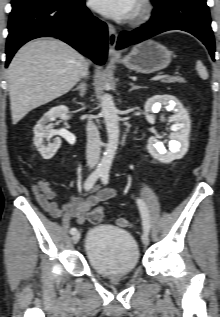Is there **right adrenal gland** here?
Returning <instances> with one entry per match:
<instances>
[{
    "label": "right adrenal gland",
    "instance_id": "1",
    "mask_svg": "<svg viewBox=\"0 0 220 317\" xmlns=\"http://www.w3.org/2000/svg\"><path fill=\"white\" fill-rule=\"evenodd\" d=\"M87 89V84L85 82L80 83L73 91H79L81 97H84Z\"/></svg>",
    "mask_w": 220,
    "mask_h": 317
}]
</instances>
